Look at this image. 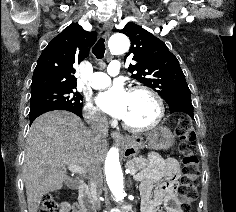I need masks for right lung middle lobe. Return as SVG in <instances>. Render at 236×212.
I'll use <instances>...</instances> for the list:
<instances>
[{"label": "right lung middle lobe", "mask_w": 236, "mask_h": 212, "mask_svg": "<svg viewBox=\"0 0 236 212\" xmlns=\"http://www.w3.org/2000/svg\"><path fill=\"white\" fill-rule=\"evenodd\" d=\"M75 88H52L31 93V107L53 106L82 110V95Z\"/></svg>", "instance_id": "dd1d6c3e"}]
</instances>
